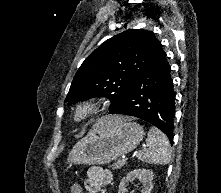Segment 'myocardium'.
Wrapping results in <instances>:
<instances>
[{"instance_id":"obj_1","label":"myocardium","mask_w":221,"mask_h":193,"mask_svg":"<svg viewBox=\"0 0 221 193\" xmlns=\"http://www.w3.org/2000/svg\"><path fill=\"white\" fill-rule=\"evenodd\" d=\"M106 101L103 97H91L79 100L72 113V118L76 123H84L98 115Z\"/></svg>"}]
</instances>
